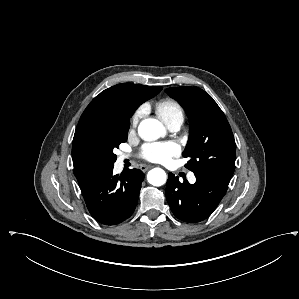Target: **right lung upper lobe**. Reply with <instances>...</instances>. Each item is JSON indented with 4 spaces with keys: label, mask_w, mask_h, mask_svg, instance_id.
Returning <instances> with one entry per match:
<instances>
[{
    "label": "right lung upper lobe",
    "mask_w": 299,
    "mask_h": 299,
    "mask_svg": "<svg viewBox=\"0 0 299 299\" xmlns=\"http://www.w3.org/2000/svg\"><path fill=\"white\" fill-rule=\"evenodd\" d=\"M161 90L162 87L123 83L102 91L90 102L78 122L73 138L72 159L79 184L82 183L79 182L78 162L74 145L111 119L130 118L141 103L154 97Z\"/></svg>",
    "instance_id": "right-lung-upper-lobe-1"
}]
</instances>
